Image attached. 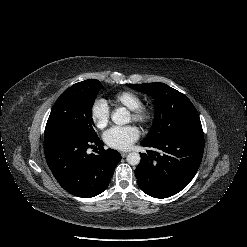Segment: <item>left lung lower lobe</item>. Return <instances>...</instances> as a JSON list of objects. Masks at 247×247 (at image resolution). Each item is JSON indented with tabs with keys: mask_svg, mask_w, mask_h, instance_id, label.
<instances>
[{
	"mask_svg": "<svg viewBox=\"0 0 247 247\" xmlns=\"http://www.w3.org/2000/svg\"><path fill=\"white\" fill-rule=\"evenodd\" d=\"M149 148L141 153L135 169L140 189L154 198L173 196L195 176L203 157L204 139L176 137L162 142H142Z\"/></svg>",
	"mask_w": 247,
	"mask_h": 247,
	"instance_id": "0a47b994",
	"label": "left lung lower lobe"
}]
</instances>
